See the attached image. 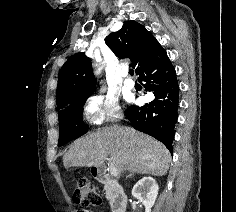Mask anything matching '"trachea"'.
<instances>
[{"instance_id": "3493384b", "label": "trachea", "mask_w": 236, "mask_h": 212, "mask_svg": "<svg viewBox=\"0 0 236 212\" xmlns=\"http://www.w3.org/2000/svg\"><path fill=\"white\" fill-rule=\"evenodd\" d=\"M129 74L132 76V75H134V70L133 69H130L129 70Z\"/></svg>"}]
</instances>
